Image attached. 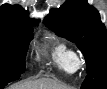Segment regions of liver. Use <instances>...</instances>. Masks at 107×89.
Wrapping results in <instances>:
<instances>
[{
	"instance_id": "6515ba94",
	"label": "liver",
	"mask_w": 107,
	"mask_h": 89,
	"mask_svg": "<svg viewBox=\"0 0 107 89\" xmlns=\"http://www.w3.org/2000/svg\"><path fill=\"white\" fill-rule=\"evenodd\" d=\"M10 89H68L67 86L51 79L41 78L22 84H15Z\"/></svg>"
}]
</instances>
